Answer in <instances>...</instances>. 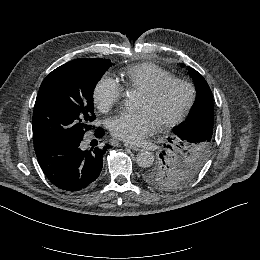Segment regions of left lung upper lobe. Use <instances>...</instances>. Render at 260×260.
<instances>
[{
    "label": "left lung upper lobe",
    "mask_w": 260,
    "mask_h": 260,
    "mask_svg": "<svg viewBox=\"0 0 260 260\" xmlns=\"http://www.w3.org/2000/svg\"><path fill=\"white\" fill-rule=\"evenodd\" d=\"M189 74L194 79L197 91L196 101L189 116L185 122L174 127V135L164 144L165 149L160 158L142 171V178L147 184L164 191L178 190L195 179L207 162L213 147V131L196 135L191 127L195 125L193 115L198 114V108L213 109L212 92L206 80L195 69L190 68Z\"/></svg>",
    "instance_id": "5c2ea615"
}]
</instances>
